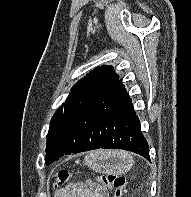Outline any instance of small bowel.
<instances>
[{
  "label": "small bowel",
  "instance_id": "c3829d8e",
  "mask_svg": "<svg viewBox=\"0 0 191 197\" xmlns=\"http://www.w3.org/2000/svg\"><path fill=\"white\" fill-rule=\"evenodd\" d=\"M54 197H108V191L99 184L71 183L56 191Z\"/></svg>",
  "mask_w": 191,
  "mask_h": 197
}]
</instances>
